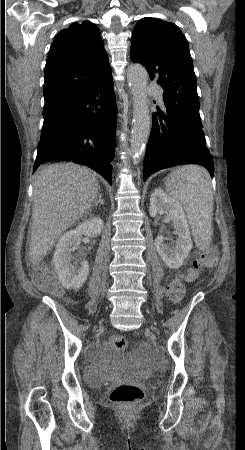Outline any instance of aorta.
Returning <instances> with one entry per match:
<instances>
[{"mask_svg":"<svg viewBox=\"0 0 245 450\" xmlns=\"http://www.w3.org/2000/svg\"><path fill=\"white\" fill-rule=\"evenodd\" d=\"M127 80L133 96L131 151L134 159L140 161L145 154L151 127L147 97L148 73L142 65L133 64L127 69Z\"/></svg>","mask_w":245,"mask_h":450,"instance_id":"1","label":"aorta"}]
</instances>
